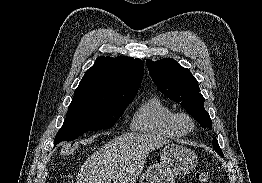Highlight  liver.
I'll list each match as a JSON object with an SVG mask.
<instances>
[{
  "instance_id": "1",
  "label": "liver",
  "mask_w": 262,
  "mask_h": 183,
  "mask_svg": "<svg viewBox=\"0 0 262 183\" xmlns=\"http://www.w3.org/2000/svg\"><path fill=\"white\" fill-rule=\"evenodd\" d=\"M169 140L143 133H125L97 149L82 165L77 183H134L149 153Z\"/></svg>"
}]
</instances>
